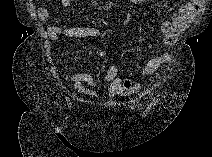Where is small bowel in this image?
<instances>
[{
	"mask_svg": "<svg viewBox=\"0 0 212 157\" xmlns=\"http://www.w3.org/2000/svg\"><path fill=\"white\" fill-rule=\"evenodd\" d=\"M63 8H69L71 0H61ZM199 9V4L195 1L185 2L178 10L173 12L170 19L165 20L161 24L163 37L161 42L166 46H173L178 39L181 31L190 23ZM38 17L40 21L45 23L48 35L52 41H57L60 36L73 38L103 36L105 32L91 27H69L62 28L54 23H46L49 17V11L45 6L38 9ZM172 57L169 53H162L147 61V63L139 69V75L146 77L154 74L161 66L170 64ZM75 88L81 93L98 98L97 90L100 84L88 73L82 72L70 77ZM105 81L109 85L108 96L110 98L117 95H125L131 90L140 88L138 83L131 80H123L118 77V68L115 65L108 67L105 75ZM87 85V87L84 86Z\"/></svg>",
	"mask_w": 212,
	"mask_h": 157,
	"instance_id": "obj_1",
	"label": "small bowel"
}]
</instances>
